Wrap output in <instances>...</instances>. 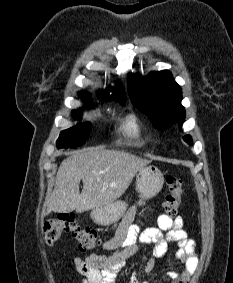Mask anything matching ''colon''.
<instances>
[{
    "label": "colon",
    "mask_w": 233,
    "mask_h": 283,
    "mask_svg": "<svg viewBox=\"0 0 233 283\" xmlns=\"http://www.w3.org/2000/svg\"><path fill=\"white\" fill-rule=\"evenodd\" d=\"M167 192L164 196L163 209L166 215L177 213L182 197V181L173 175H166ZM45 240L48 244L58 241L63 235H71L82 250H92L100 244L97 232L89 227L80 225L74 216L62 214L57 218L49 219L44 224Z\"/></svg>",
    "instance_id": "5ec220e1"
}]
</instances>
